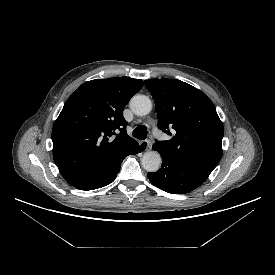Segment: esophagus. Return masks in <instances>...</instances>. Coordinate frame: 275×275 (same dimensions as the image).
<instances>
[{"label": "esophagus", "mask_w": 275, "mask_h": 275, "mask_svg": "<svg viewBox=\"0 0 275 275\" xmlns=\"http://www.w3.org/2000/svg\"><path fill=\"white\" fill-rule=\"evenodd\" d=\"M145 143H146V150L150 151L152 149V142H151V140L148 139V140L145 141Z\"/></svg>", "instance_id": "obj_1"}]
</instances>
